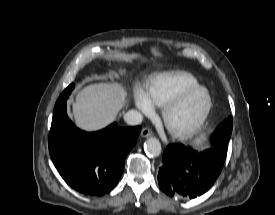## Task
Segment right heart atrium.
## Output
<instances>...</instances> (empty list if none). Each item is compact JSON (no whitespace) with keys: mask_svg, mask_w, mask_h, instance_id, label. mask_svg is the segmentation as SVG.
<instances>
[{"mask_svg":"<svg viewBox=\"0 0 275 215\" xmlns=\"http://www.w3.org/2000/svg\"><path fill=\"white\" fill-rule=\"evenodd\" d=\"M135 104L137 108L145 115H152L155 110V105L150 100L147 92L142 89H137L135 93Z\"/></svg>","mask_w":275,"mask_h":215,"instance_id":"1","label":"right heart atrium"}]
</instances>
